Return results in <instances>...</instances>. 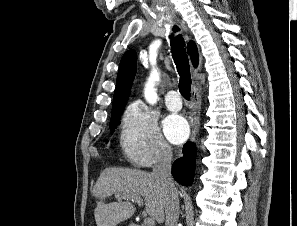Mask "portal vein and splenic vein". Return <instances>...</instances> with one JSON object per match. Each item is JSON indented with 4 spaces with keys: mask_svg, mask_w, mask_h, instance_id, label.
<instances>
[{
    "mask_svg": "<svg viewBox=\"0 0 297 226\" xmlns=\"http://www.w3.org/2000/svg\"><path fill=\"white\" fill-rule=\"evenodd\" d=\"M132 202H136L139 205H143V200L141 197H131L129 198ZM155 221L153 217H147L144 219V225L145 226H154Z\"/></svg>",
    "mask_w": 297,
    "mask_h": 226,
    "instance_id": "portal-vein-and-splenic-vein-1",
    "label": "portal vein and splenic vein"
}]
</instances>
